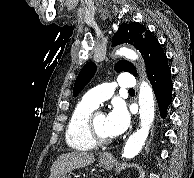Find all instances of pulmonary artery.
<instances>
[{
	"mask_svg": "<svg viewBox=\"0 0 194 178\" xmlns=\"http://www.w3.org/2000/svg\"><path fill=\"white\" fill-rule=\"evenodd\" d=\"M135 86L136 81L131 74H122L117 81L105 82L88 91L84 96V100L97 107L112 96L116 87L133 89Z\"/></svg>",
	"mask_w": 194,
	"mask_h": 178,
	"instance_id": "pulmonary-artery-1",
	"label": "pulmonary artery"
}]
</instances>
